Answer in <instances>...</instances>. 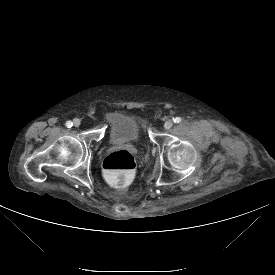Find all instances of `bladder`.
I'll return each mask as SVG.
<instances>
[{"instance_id":"obj_1","label":"bladder","mask_w":275,"mask_h":275,"mask_svg":"<svg viewBox=\"0 0 275 275\" xmlns=\"http://www.w3.org/2000/svg\"><path fill=\"white\" fill-rule=\"evenodd\" d=\"M109 139L113 142H134L142 130L140 117L129 111L117 110L108 116Z\"/></svg>"}]
</instances>
